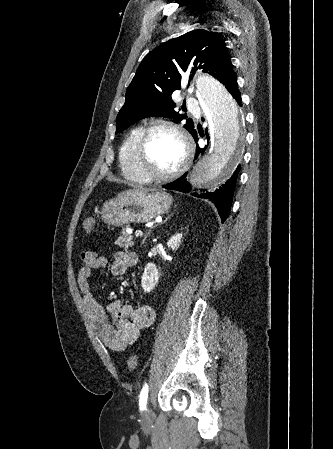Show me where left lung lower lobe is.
<instances>
[{"label":"left lung lower lobe","instance_id":"obj_1","mask_svg":"<svg viewBox=\"0 0 333 449\" xmlns=\"http://www.w3.org/2000/svg\"><path fill=\"white\" fill-rule=\"evenodd\" d=\"M223 84L225 85L226 89L230 92V94L233 96V98L240 105L241 104V97H240L241 94L237 88V77L233 71L224 80ZM191 135L193 136L194 140L197 143V141H198L197 132L195 131ZM205 149H206V146H205V148L201 149L197 145V153H196L195 159L200 157L203 154V152L205 151ZM239 170H240V165L237 167V169L235 170L233 175L230 177V179H228L227 182L224 185H222V187H219L218 189H216L214 191L200 190L195 193H192V195L195 197L211 200L215 204V206L220 214L222 222H224L226 220V218L228 217L229 212H230L231 203L233 200V192H234L236 179H237ZM186 176H187V174H184L182 177H180L176 181L169 183L167 185H164L163 188L174 189V190H178V191L185 192V193L190 192L191 186L187 182Z\"/></svg>","mask_w":333,"mask_h":449}]
</instances>
